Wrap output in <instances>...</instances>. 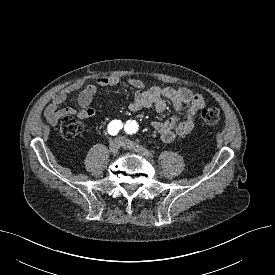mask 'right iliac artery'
<instances>
[{
	"mask_svg": "<svg viewBox=\"0 0 275 275\" xmlns=\"http://www.w3.org/2000/svg\"><path fill=\"white\" fill-rule=\"evenodd\" d=\"M122 128L123 124L120 120H113L108 124L107 130L110 135L115 136Z\"/></svg>",
	"mask_w": 275,
	"mask_h": 275,
	"instance_id": "obj_1",
	"label": "right iliac artery"
}]
</instances>
